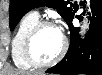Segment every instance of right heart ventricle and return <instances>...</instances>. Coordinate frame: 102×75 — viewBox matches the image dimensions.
I'll return each mask as SVG.
<instances>
[{"label": "right heart ventricle", "instance_id": "1", "mask_svg": "<svg viewBox=\"0 0 102 75\" xmlns=\"http://www.w3.org/2000/svg\"><path fill=\"white\" fill-rule=\"evenodd\" d=\"M37 21H39V15L35 12L26 13L21 18L13 35L11 42V55L13 62L19 68L28 69L32 66L25 56L23 43L27 34Z\"/></svg>", "mask_w": 102, "mask_h": 75}]
</instances>
